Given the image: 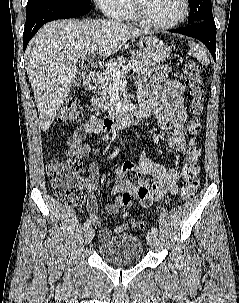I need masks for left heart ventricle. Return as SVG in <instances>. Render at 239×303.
<instances>
[{
  "instance_id": "left-heart-ventricle-1",
  "label": "left heart ventricle",
  "mask_w": 239,
  "mask_h": 303,
  "mask_svg": "<svg viewBox=\"0 0 239 303\" xmlns=\"http://www.w3.org/2000/svg\"><path fill=\"white\" fill-rule=\"evenodd\" d=\"M146 16L155 23H169L183 12L182 0H141Z\"/></svg>"
}]
</instances>
